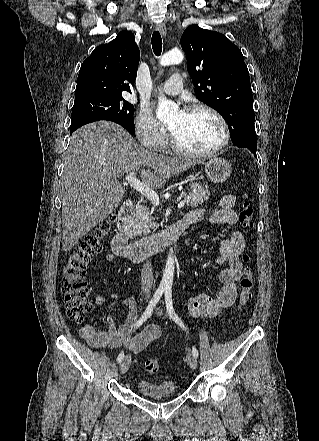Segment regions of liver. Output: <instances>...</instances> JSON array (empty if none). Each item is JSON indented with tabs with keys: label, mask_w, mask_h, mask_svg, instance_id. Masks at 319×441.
I'll list each match as a JSON object with an SVG mask.
<instances>
[{
	"label": "liver",
	"mask_w": 319,
	"mask_h": 441,
	"mask_svg": "<svg viewBox=\"0 0 319 441\" xmlns=\"http://www.w3.org/2000/svg\"><path fill=\"white\" fill-rule=\"evenodd\" d=\"M198 163L148 151L116 123L80 127L70 138L60 183L63 250H71L118 207L125 192L116 178L119 172L139 171L143 183L158 189Z\"/></svg>",
	"instance_id": "obj_1"
}]
</instances>
